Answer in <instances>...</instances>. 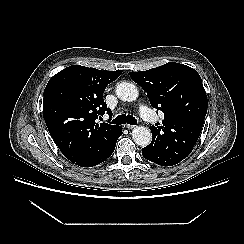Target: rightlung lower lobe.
<instances>
[{"mask_svg":"<svg viewBox=\"0 0 244 244\" xmlns=\"http://www.w3.org/2000/svg\"><path fill=\"white\" fill-rule=\"evenodd\" d=\"M121 135H122V128L120 127L118 129V131L115 133L114 139L111 142V144L100 156L90 159V160H83V161L75 162V164L78 166H81V167H92V166L98 165L99 163L105 161L113 153L115 146H116L117 139Z\"/></svg>","mask_w":244,"mask_h":244,"instance_id":"obj_1","label":"right lung lower lobe"}]
</instances>
